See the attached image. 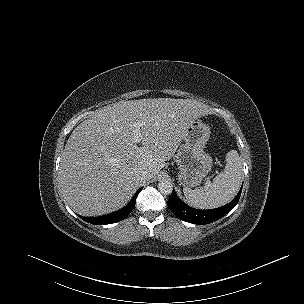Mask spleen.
Listing matches in <instances>:
<instances>
[{"mask_svg": "<svg viewBox=\"0 0 304 304\" xmlns=\"http://www.w3.org/2000/svg\"><path fill=\"white\" fill-rule=\"evenodd\" d=\"M225 169L204 187L183 188L187 201L197 208L210 209L222 206L237 194L242 181L243 164L236 150L226 154Z\"/></svg>", "mask_w": 304, "mask_h": 304, "instance_id": "1", "label": "spleen"}]
</instances>
